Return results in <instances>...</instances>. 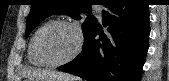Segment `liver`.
Wrapping results in <instances>:
<instances>
[{
    "mask_svg": "<svg viewBox=\"0 0 169 81\" xmlns=\"http://www.w3.org/2000/svg\"><path fill=\"white\" fill-rule=\"evenodd\" d=\"M23 75L31 81H74L75 79L65 73L38 69L24 70Z\"/></svg>",
    "mask_w": 169,
    "mask_h": 81,
    "instance_id": "obj_1",
    "label": "liver"
}]
</instances>
